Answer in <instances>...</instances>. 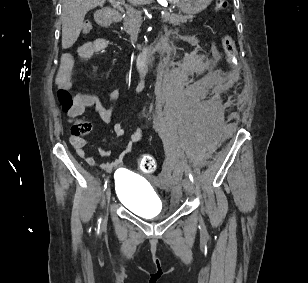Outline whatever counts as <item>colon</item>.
<instances>
[{
	"label": "colon",
	"instance_id": "1",
	"mask_svg": "<svg viewBox=\"0 0 308 283\" xmlns=\"http://www.w3.org/2000/svg\"><path fill=\"white\" fill-rule=\"evenodd\" d=\"M228 6L227 0H216L215 10L218 12L224 11ZM92 30V25L85 22L82 27L83 33H89ZM223 50L225 53L226 61L232 63L236 56V46L234 39L230 34L223 38ZM58 101L64 111H69L74 107V98L68 90L59 89L57 93ZM91 130V124L84 119H77L71 126V133L75 137L81 138L87 135ZM137 165L143 173H152L155 171L157 163L155 158L150 154H143L139 157Z\"/></svg>",
	"mask_w": 308,
	"mask_h": 283
}]
</instances>
